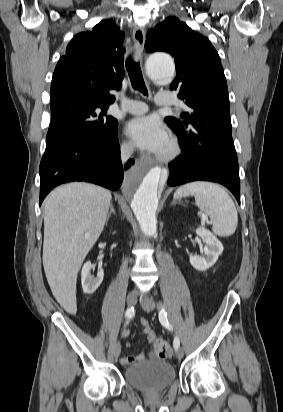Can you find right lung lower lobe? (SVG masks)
Returning <instances> with one entry per match:
<instances>
[{
	"label": "right lung lower lobe",
	"mask_w": 283,
	"mask_h": 412,
	"mask_svg": "<svg viewBox=\"0 0 283 412\" xmlns=\"http://www.w3.org/2000/svg\"><path fill=\"white\" fill-rule=\"evenodd\" d=\"M132 164L134 160L129 159L124 168ZM39 172L40 205L54 187L66 182L86 181L118 189L124 171L117 127L101 137L77 134L55 140L46 146Z\"/></svg>",
	"instance_id": "98d812e1"
}]
</instances>
